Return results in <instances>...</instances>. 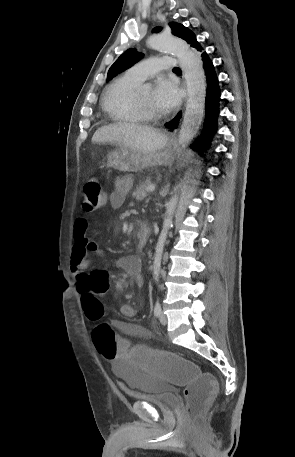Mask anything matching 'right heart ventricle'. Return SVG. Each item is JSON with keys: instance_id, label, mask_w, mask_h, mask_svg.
<instances>
[{"instance_id": "e07e8e85", "label": "right heart ventricle", "mask_w": 295, "mask_h": 457, "mask_svg": "<svg viewBox=\"0 0 295 457\" xmlns=\"http://www.w3.org/2000/svg\"><path fill=\"white\" fill-rule=\"evenodd\" d=\"M139 83L125 74L106 87L102 107L111 120L128 124H140L146 120L136 108L133 98V92Z\"/></svg>"}]
</instances>
